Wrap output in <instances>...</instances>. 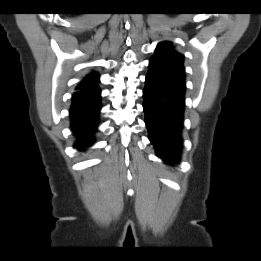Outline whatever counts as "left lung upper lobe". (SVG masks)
I'll return each mask as SVG.
<instances>
[{
	"label": "left lung upper lobe",
	"instance_id": "left-lung-upper-lobe-1",
	"mask_svg": "<svg viewBox=\"0 0 261 261\" xmlns=\"http://www.w3.org/2000/svg\"><path fill=\"white\" fill-rule=\"evenodd\" d=\"M150 60L181 70L185 69L183 66L184 56L176 52L172 43L168 41L158 44L156 52Z\"/></svg>",
	"mask_w": 261,
	"mask_h": 261
}]
</instances>
